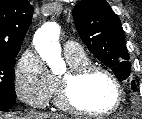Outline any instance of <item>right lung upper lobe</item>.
<instances>
[{"mask_svg": "<svg viewBox=\"0 0 142 119\" xmlns=\"http://www.w3.org/2000/svg\"><path fill=\"white\" fill-rule=\"evenodd\" d=\"M32 14L27 0H0V53L19 52Z\"/></svg>", "mask_w": 142, "mask_h": 119, "instance_id": "1", "label": "right lung upper lobe"}]
</instances>
